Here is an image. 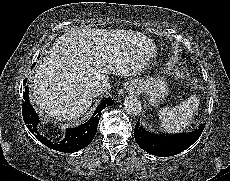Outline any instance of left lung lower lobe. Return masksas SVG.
<instances>
[{"label":"left lung lower lobe","mask_w":230,"mask_h":181,"mask_svg":"<svg viewBox=\"0 0 230 181\" xmlns=\"http://www.w3.org/2000/svg\"><path fill=\"white\" fill-rule=\"evenodd\" d=\"M204 127L205 124H202L198 130L187 134L157 135L144 130L138 120L134 129V137L139 147L146 152L159 157H167L189 148L200 137Z\"/></svg>","instance_id":"left-lung-lower-lobe-1"}]
</instances>
